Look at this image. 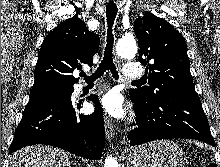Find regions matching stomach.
I'll return each instance as SVG.
<instances>
[{
  "label": "stomach",
  "mask_w": 220,
  "mask_h": 167,
  "mask_svg": "<svg viewBox=\"0 0 220 167\" xmlns=\"http://www.w3.org/2000/svg\"><path fill=\"white\" fill-rule=\"evenodd\" d=\"M127 167H187L183 151L172 141L150 142L126 151Z\"/></svg>",
  "instance_id": "obj_1"
}]
</instances>
